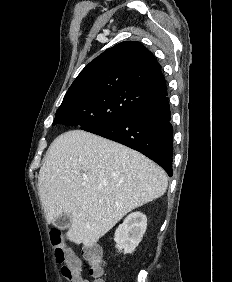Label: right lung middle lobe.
Returning a JSON list of instances; mask_svg holds the SVG:
<instances>
[{
	"instance_id": "1",
	"label": "right lung middle lobe",
	"mask_w": 232,
	"mask_h": 282,
	"mask_svg": "<svg viewBox=\"0 0 232 282\" xmlns=\"http://www.w3.org/2000/svg\"><path fill=\"white\" fill-rule=\"evenodd\" d=\"M153 104L143 92L131 89H110L87 93L63 100L53 126L64 124L81 129L112 124L139 113Z\"/></svg>"
}]
</instances>
